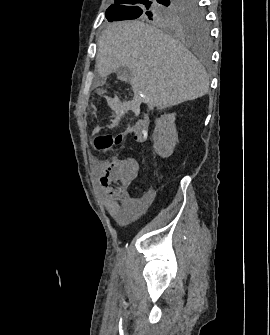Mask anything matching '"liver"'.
Masks as SVG:
<instances>
[{"mask_svg": "<svg viewBox=\"0 0 270 335\" xmlns=\"http://www.w3.org/2000/svg\"><path fill=\"white\" fill-rule=\"evenodd\" d=\"M122 66L132 72L134 94L158 110L201 98L209 88L206 70L181 42L139 20L113 22L98 40L101 78Z\"/></svg>", "mask_w": 270, "mask_h": 335, "instance_id": "liver-1", "label": "liver"}]
</instances>
